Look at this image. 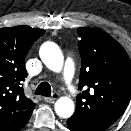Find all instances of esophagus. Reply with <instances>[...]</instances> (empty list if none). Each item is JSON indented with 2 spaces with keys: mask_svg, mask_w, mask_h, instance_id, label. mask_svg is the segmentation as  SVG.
Segmentation results:
<instances>
[{
  "mask_svg": "<svg viewBox=\"0 0 131 131\" xmlns=\"http://www.w3.org/2000/svg\"><path fill=\"white\" fill-rule=\"evenodd\" d=\"M58 97H59L58 93H53L52 97H44L43 100L45 102L51 103V102H54L55 100H57Z\"/></svg>",
  "mask_w": 131,
  "mask_h": 131,
  "instance_id": "34e87169",
  "label": "esophagus"
}]
</instances>
